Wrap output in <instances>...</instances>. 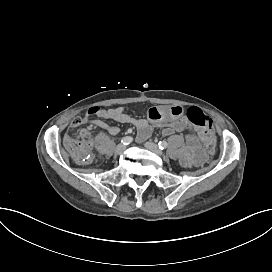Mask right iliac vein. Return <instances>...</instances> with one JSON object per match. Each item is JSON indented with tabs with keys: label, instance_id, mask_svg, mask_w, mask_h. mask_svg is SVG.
Listing matches in <instances>:
<instances>
[{
	"label": "right iliac vein",
	"instance_id": "right-iliac-vein-1",
	"mask_svg": "<svg viewBox=\"0 0 272 272\" xmlns=\"http://www.w3.org/2000/svg\"><path fill=\"white\" fill-rule=\"evenodd\" d=\"M126 146L124 144H119L116 148H115V153L116 154H121L125 151Z\"/></svg>",
	"mask_w": 272,
	"mask_h": 272
}]
</instances>
